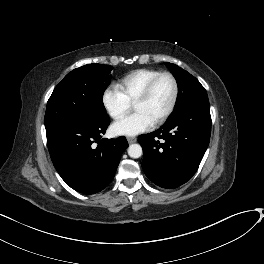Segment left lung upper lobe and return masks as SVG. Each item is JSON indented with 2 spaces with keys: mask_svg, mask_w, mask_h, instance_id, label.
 <instances>
[{
  "mask_svg": "<svg viewBox=\"0 0 264 264\" xmlns=\"http://www.w3.org/2000/svg\"><path fill=\"white\" fill-rule=\"evenodd\" d=\"M165 64L173 73L179 89L174 112L172 113V116L170 118L193 103L208 101V96L205 88L194 76L175 64L168 62H166Z\"/></svg>",
  "mask_w": 264,
  "mask_h": 264,
  "instance_id": "obj_1",
  "label": "left lung upper lobe"
}]
</instances>
